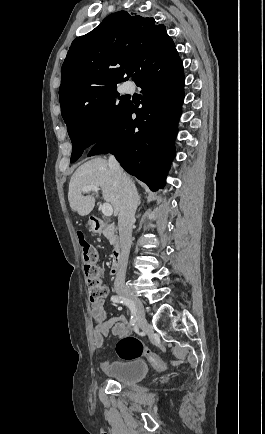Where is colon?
Segmentation results:
<instances>
[{
	"instance_id": "colon-1",
	"label": "colon",
	"mask_w": 265,
	"mask_h": 434,
	"mask_svg": "<svg viewBox=\"0 0 265 434\" xmlns=\"http://www.w3.org/2000/svg\"><path fill=\"white\" fill-rule=\"evenodd\" d=\"M77 240L81 249L85 267V280L91 301L102 302L108 295L109 290L103 281L100 268L99 251L87 239L82 231L77 233ZM116 355L125 362H132L146 357L148 363L156 370L167 368V362L159 359L151 353L142 340L135 336H125L115 344Z\"/></svg>"
}]
</instances>
